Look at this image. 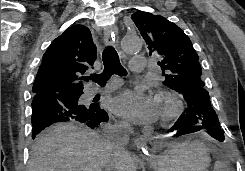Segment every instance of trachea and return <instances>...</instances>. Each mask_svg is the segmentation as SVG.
I'll return each mask as SVG.
<instances>
[{
	"label": "trachea",
	"instance_id": "obj_1",
	"mask_svg": "<svg viewBox=\"0 0 245 171\" xmlns=\"http://www.w3.org/2000/svg\"><path fill=\"white\" fill-rule=\"evenodd\" d=\"M104 70L101 74H92L90 79L104 86L113 74L119 76L126 75V70L122 67L117 52L113 47L108 46L103 52Z\"/></svg>",
	"mask_w": 245,
	"mask_h": 171
}]
</instances>
